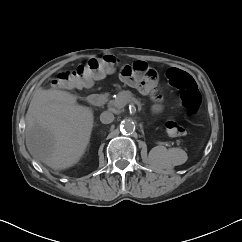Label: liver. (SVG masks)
Returning <instances> with one entry per match:
<instances>
[{
  "label": "liver",
  "mask_w": 242,
  "mask_h": 242,
  "mask_svg": "<svg viewBox=\"0 0 242 242\" xmlns=\"http://www.w3.org/2000/svg\"><path fill=\"white\" fill-rule=\"evenodd\" d=\"M26 146L32 157L54 170L76 164L89 144L93 111L67 91H35L26 117Z\"/></svg>",
  "instance_id": "1"
}]
</instances>
